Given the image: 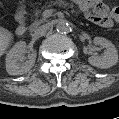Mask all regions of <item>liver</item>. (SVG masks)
I'll return each instance as SVG.
<instances>
[{"label":"liver","instance_id":"liver-1","mask_svg":"<svg viewBox=\"0 0 119 119\" xmlns=\"http://www.w3.org/2000/svg\"><path fill=\"white\" fill-rule=\"evenodd\" d=\"M11 37L9 33L0 27V57L6 52L10 45Z\"/></svg>","mask_w":119,"mask_h":119}]
</instances>
